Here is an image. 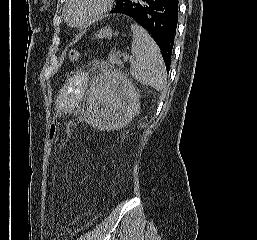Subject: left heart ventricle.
Wrapping results in <instances>:
<instances>
[{"instance_id": "b2bd125f", "label": "left heart ventricle", "mask_w": 257, "mask_h": 240, "mask_svg": "<svg viewBox=\"0 0 257 240\" xmlns=\"http://www.w3.org/2000/svg\"><path fill=\"white\" fill-rule=\"evenodd\" d=\"M102 0H74L69 7L70 19L81 23L93 15L101 6Z\"/></svg>"}]
</instances>
